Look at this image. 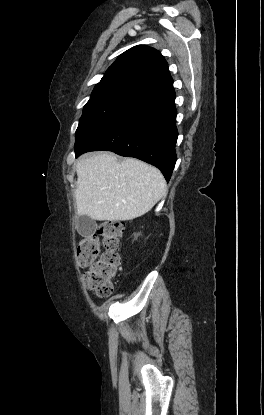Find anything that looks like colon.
I'll return each instance as SVG.
<instances>
[{"label":"colon","mask_w":264,"mask_h":415,"mask_svg":"<svg viewBox=\"0 0 264 415\" xmlns=\"http://www.w3.org/2000/svg\"><path fill=\"white\" fill-rule=\"evenodd\" d=\"M123 232L122 223L106 222L78 244L77 264L84 270L83 285L98 297H108L112 293L113 281L120 267L117 249ZM100 243L104 249L101 254Z\"/></svg>","instance_id":"5ec220e1"}]
</instances>
